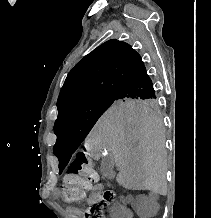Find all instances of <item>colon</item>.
I'll list each match as a JSON object with an SVG mask.
<instances>
[{"mask_svg": "<svg viewBox=\"0 0 211 218\" xmlns=\"http://www.w3.org/2000/svg\"><path fill=\"white\" fill-rule=\"evenodd\" d=\"M98 180L93 161L87 150L80 151L70 164L60 188V196L67 202H76L84 199ZM112 190L103 194L101 201L92 203L87 209L80 212L81 218H104L109 201L114 198Z\"/></svg>", "mask_w": 211, "mask_h": 218, "instance_id": "colon-1", "label": "colon"}]
</instances>
